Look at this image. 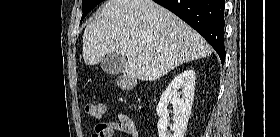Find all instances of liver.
I'll list each match as a JSON object with an SVG mask.
<instances>
[{
	"label": "liver",
	"mask_w": 280,
	"mask_h": 137,
	"mask_svg": "<svg viewBox=\"0 0 280 137\" xmlns=\"http://www.w3.org/2000/svg\"><path fill=\"white\" fill-rule=\"evenodd\" d=\"M83 59L95 65L109 53L127 57L125 76L155 81L212 53L207 41L152 0H108L83 34Z\"/></svg>",
	"instance_id": "obj_1"
}]
</instances>
